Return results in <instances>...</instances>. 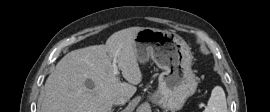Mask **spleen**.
Segmentation results:
<instances>
[{
    "mask_svg": "<svg viewBox=\"0 0 270 112\" xmlns=\"http://www.w3.org/2000/svg\"><path fill=\"white\" fill-rule=\"evenodd\" d=\"M203 112H227L226 96L222 87L213 88L208 105Z\"/></svg>",
    "mask_w": 270,
    "mask_h": 112,
    "instance_id": "3e777b00",
    "label": "spleen"
}]
</instances>
